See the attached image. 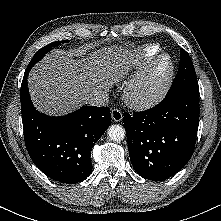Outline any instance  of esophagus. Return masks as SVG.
<instances>
[{"mask_svg":"<svg viewBox=\"0 0 221 221\" xmlns=\"http://www.w3.org/2000/svg\"><path fill=\"white\" fill-rule=\"evenodd\" d=\"M111 118L115 121V122H120L123 118L122 112L119 109H112L111 111Z\"/></svg>","mask_w":221,"mask_h":221,"instance_id":"obj_1","label":"esophagus"}]
</instances>
